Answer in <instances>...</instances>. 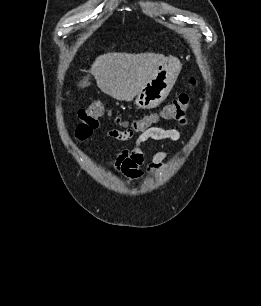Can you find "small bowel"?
<instances>
[{
  "label": "small bowel",
  "mask_w": 261,
  "mask_h": 306,
  "mask_svg": "<svg viewBox=\"0 0 261 306\" xmlns=\"http://www.w3.org/2000/svg\"><path fill=\"white\" fill-rule=\"evenodd\" d=\"M181 124L185 123V117L183 116L178 120ZM109 136L118 140H125L128 138L123 137L119 130H111ZM152 140H171L179 141L181 139V133L178 129L170 128L165 129L162 127H153L143 132L135 142V146L130 150H123L117 153L116 157L112 161L113 168L131 181H138L144 176L142 166L145 163V157L141 148L142 143ZM169 152L160 151L157 152L151 159L147 167V173L153 174L161 168L164 160L168 157Z\"/></svg>",
  "instance_id": "obj_1"
}]
</instances>
